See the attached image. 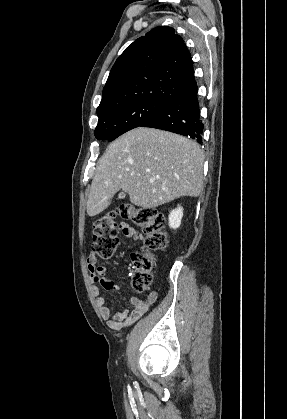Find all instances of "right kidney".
<instances>
[{"mask_svg": "<svg viewBox=\"0 0 287 419\" xmlns=\"http://www.w3.org/2000/svg\"><path fill=\"white\" fill-rule=\"evenodd\" d=\"M183 217V208L178 206L172 210L169 214V226L170 228L176 229L180 226Z\"/></svg>", "mask_w": 287, "mask_h": 419, "instance_id": "1", "label": "right kidney"}]
</instances>
